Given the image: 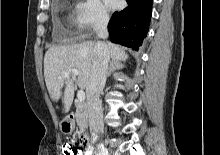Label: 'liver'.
<instances>
[{"label":"liver","mask_w":220,"mask_h":155,"mask_svg":"<svg viewBox=\"0 0 220 155\" xmlns=\"http://www.w3.org/2000/svg\"><path fill=\"white\" fill-rule=\"evenodd\" d=\"M95 42L87 41L67 46H54L44 57V78L50 97L58 101L63 96L62 112L67 113L74 99V81L65 73L72 68L78 70L77 84L86 89L89 83L91 66L94 59ZM112 60L126 61L128 55L123 48L110 42L106 43ZM63 87L65 88L62 93Z\"/></svg>","instance_id":"obj_1"}]
</instances>
